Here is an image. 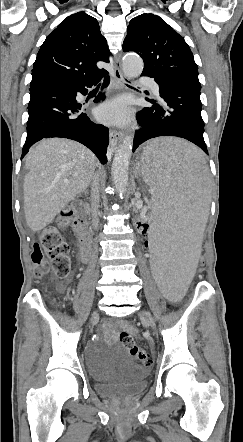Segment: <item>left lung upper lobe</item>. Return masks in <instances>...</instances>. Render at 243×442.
<instances>
[{
	"label": "left lung upper lobe",
	"instance_id": "5c2ea615",
	"mask_svg": "<svg viewBox=\"0 0 243 442\" xmlns=\"http://www.w3.org/2000/svg\"><path fill=\"white\" fill-rule=\"evenodd\" d=\"M123 50L139 54L144 61L143 71L153 76L198 80V67L188 44L159 16L144 13L133 18Z\"/></svg>",
	"mask_w": 243,
	"mask_h": 442
}]
</instances>
